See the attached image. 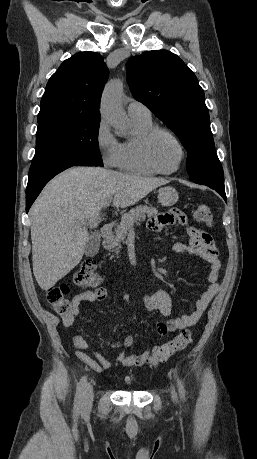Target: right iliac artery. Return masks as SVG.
I'll use <instances>...</instances> for the list:
<instances>
[{
    "instance_id": "obj_1",
    "label": "right iliac artery",
    "mask_w": 257,
    "mask_h": 459,
    "mask_svg": "<svg viewBox=\"0 0 257 459\" xmlns=\"http://www.w3.org/2000/svg\"><path fill=\"white\" fill-rule=\"evenodd\" d=\"M86 385H87V377L83 376L80 382L78 383L77 390H76V395H75V400H74V413L75 414H78L82 407L83 394H84V389Z\"/></svg>"
}]
</instances>
